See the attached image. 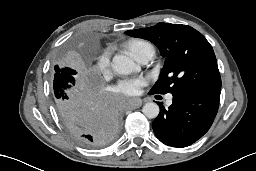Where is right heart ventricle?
Instances as JSON below:
<instances>
[{
  "instance_id": "e07e8e85",
  "label": "right heart ventricle",
  "mask_w": 256,
  "mask_h": 171,
  "mask_svg": "<svg viewBox=\"0 0 256 171\" xmlns=\"http://www.w3.org/2000/svg\"><path fill=\"white\" fill-rule=\"evenodd\" d=\"M127 48L136 59H138L142 53L154 49L151 43L142 39H133L129 41Z\"/></svg>"
}]
</instances>
